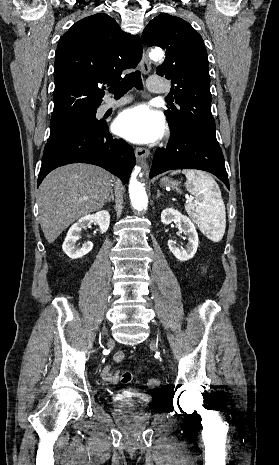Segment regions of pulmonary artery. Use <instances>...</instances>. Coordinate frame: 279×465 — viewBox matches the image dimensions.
Instances as JSON below:
<instances>
[{
    "instance_id": "pulmonary-artery-1",
    "label": "pulmonary artery",
    "mask_w": 279,
    "mask_h": 465,
    "mask_svg": "<svg viewBox=\"0 0 279 465\" xmlns=\"http://www.w3.org/2000/svg\"><path fill=\"white\" fill-rule=\"evenodd\" d=\"M148 89L153 93H164L166 91L162 80L156 76H153L149 79ZM129 101L130 99L127 97H123L119 100H108L102 105L101 110L107 111L108 109L121 106Z\"/></svg>"
}]
</instances>
